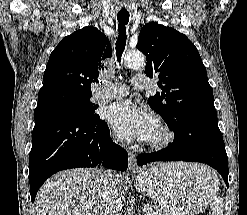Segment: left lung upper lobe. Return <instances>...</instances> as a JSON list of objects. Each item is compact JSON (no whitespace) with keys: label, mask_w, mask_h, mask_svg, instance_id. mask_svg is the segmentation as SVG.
Listing matches in <instances>:
<instances>
[{"label":"left lung upper lobe","mask_w":247,"mask_h":215,"mask_svg":"<svg viewBox=\"0 0 247 215\" xmlns=\"http://www.w3.org/2000/svg\"><path fill=\"white\" fill-rule=\"evenodd\" d=\"M137 48L146 56V75L158 76L163 90L148 103L173 131L197 120L218 121L206 68L184 34L151 22L141 29Z\"/></svg>","instance_id":"5c2ea615"}]
</instances>
